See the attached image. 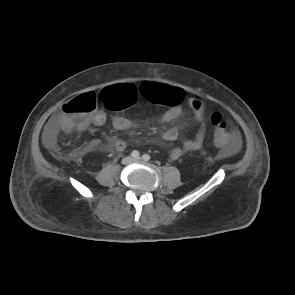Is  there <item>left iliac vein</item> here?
<instances>
[{
  "instance_id": "1",
  "label": "left iliac vein",
  "mask_w": 295,
  "mask_h": 295,
  "mask_svg": "<svg viewBox=\"0 0 295 295\" xmlns=\"http://www.w3.org/2000/svg\"><path fill=\"white\" fill-rule=\"evenodd\" d=\"M134 161H136V162L141 161V158H136V159H134Z\"/></svg>"
}]
</instances>
